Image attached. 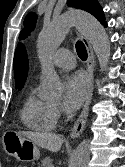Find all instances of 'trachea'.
<instances>
[{"instance_id":"1","label":"trachea","mask_w":125,"mask_h":167,"mask_svg":"<svg viewBox=\"0 0 125 167\" xmlns=\"http://www.w3.org/2000/svg\"><path fill=\"white\" fill-rule=\"evenodd\" d=\"M76 52L80 59L86 60L87 59V50L83 42L79 41L76 44Z\"/></svg>"}]
</instances>
